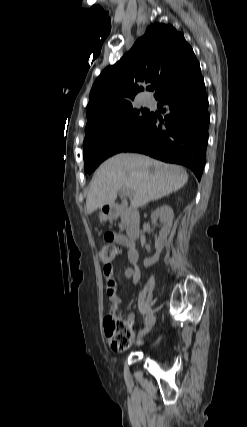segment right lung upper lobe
<instances>
[{"instance_id":"right-lung-upper-lobe-1","label":"right lung upper lobe","mask_w":247,"mask_h":427,"mask_svg":"<svg viewBox=\"0 0 247 427\" xmlns=\"http://www.w3.org/2000/svg\"><path fill=\"white\" fill-rule=\"evenodd\" d=\"M200 69L190 45L172 25L154 23L116 64L96 79L87 106L86 128L110 121L132 107L145 88L164 96L181 80Z\"/></svg>"}]
</instances>
